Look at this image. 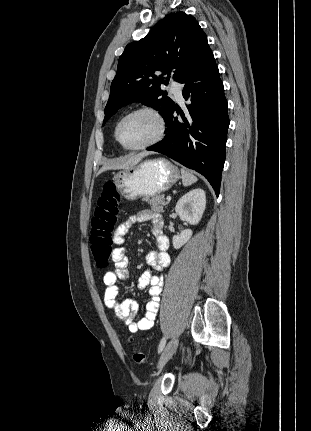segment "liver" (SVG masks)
Masks as SVG:
<instances>
[{
  "label": "liver",
  "instance_id": "1",
  "mask_svg": "<svg viewBox=\"0 0 311 431\" xmlns=\"http://www.w3.org/2000/svg\"><path fill=\"white\" fill-rule=\"evenodd\" d=\"M152 152H139V154H135V156H128V158H121L118 164H112V166H102L100 170L97 172V176L102 174V172H106V170H126V168H132V166H137L139 162H141L142 158L145 156H149Z\"/></svg>",
  "mask_w": 311,
  "mask_h": 431
}]
</instances>
